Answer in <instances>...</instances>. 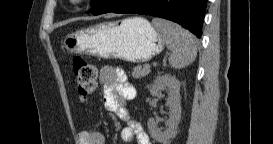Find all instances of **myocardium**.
Returning a JSON list of instances; mask_svg holds the SVG:
<instances>
[{
    "label": "myocardium",
    "instance_id": "f54148a6",
    "mask_svg": "<svg viewBox=\"0 0 273 144\" xmlns=\"http://www.w3.org/2000/svg\"><path fill=\"white\" fill-rule=\"evenodd\" d=\"M83 0H74V2H82Z\"/></svg>",
    "mask_w": 273,
    "mask_h": 144
}]
</instances>
